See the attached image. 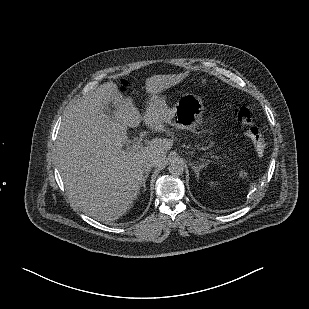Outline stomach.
Here are the masks:
<instances>
[{
    "label": "stomach",
    "mask_w": 309,
    "mask_h": 309,
    "mask_svg": "<svg viewBox=\"0 0 309 309\" xmlns=\"http://www.w3.org/2000/svg\"><path fill=\"white\" fill-rule=\"evenodd\" d=\"M204 104L196 96L185 95L167 113L166 123L177 127L189 128L197 125L203 118Z\"/></svg>",
    "instance_id": "0dacf381"
}]
</instances>
